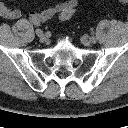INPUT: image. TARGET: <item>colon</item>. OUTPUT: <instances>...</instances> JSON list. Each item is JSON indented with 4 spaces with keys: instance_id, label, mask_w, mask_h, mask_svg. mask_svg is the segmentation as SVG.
Instances as JSON below:
<instances>
[{
    "instance_id": "1",
    "label": "colon",
    "mask_w": 128,
    "mask_h": 128,
    "mask_svg": "<svg viewBox=\"0 0 128 128\" xmlns=\"http://www.w3.org/2000/svg\"><path fill=\"white\" fill-rule=\"evenodd\" d=\"M120 1L128 3V0H120ZM74 12H75L74 7H65L60 11L59 18L62 21H66L74 15Z\"/></svg>"
}]
</instances>
